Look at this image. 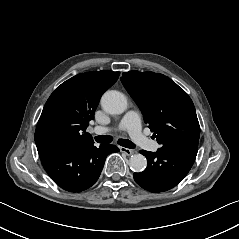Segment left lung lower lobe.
I'll return each mask as SVG.
<instances>
[{
	"mask_svg": "<svg viewBox=\"0 0 239 239\" xmlns=\"http://www.w3.org/2000/svg\"><path fill=\"white\" fill-rule=\"evenodd\" d=\"M198 147L174 145L161 147L157 152L141 150L147 158V168L134 173V180L145 190L164 192L179 184L191 169Z\"/></svg>",
	"mask_w": 239,
	"mask_h": 239,
	"instance_id": "left-lung-lower-lobe-1",
	"label": "left lung lower lobe"
}]
</instances>
